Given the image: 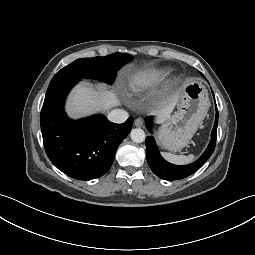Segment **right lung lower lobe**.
Wrapping results in <instances>:
<instances>
[{
  "label": "right lung lower lobe",
  "instance_id": "obj_1",
  "mask_svg": "<svg viewBox=\"0 0 255 255\" xmlns=\"http://www.w3.org/2000/svg\"><path fill=\"white\" fill-rule=\"evenodd\" d=\"M79 80L50 83L41 110V131L46 154L59 170L78 180H92L110 169L133 118L122 124L112 123L103 115L69 119L63 107L65 97Z\"/></svg>",
  "mask_w": 255,
  "mask_h": 255
}]
</instances>
